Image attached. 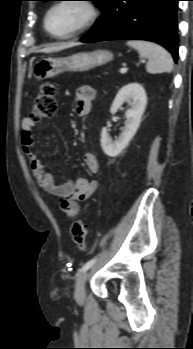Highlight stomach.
Returning a JSON list of instances; mask_svg holds the SVG:
<instances>
[{"label":"stomach","mask_w":193,"mask_h":349,"mask_svg":"<svg viewBox=\"0 0 193 349\" xmlns=\"http://www.w3.org/2000/svg\"><path fill=\"white\" fill-rule=\"evenodd\" d=\"M112 58V53L107 50L80 52L67 57L42 58L31 65L30 72L35 79L44 80L66 71H88L110 62Z\"/></svg>","instance_id":"obj_1"}]
</instances>
